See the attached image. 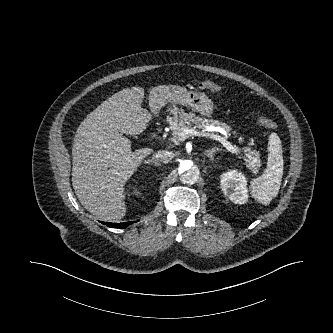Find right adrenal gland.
Wrapping results in <instances>:
<instances>
[{
	"mask_svg": "<svg viewBox=\"0 0 333 333\" xmlns=\"http://www.w3.org/2000/svg\"><path fill=\"white\" fill-rule=\"evenodd\" d=\"M146 163H148V164H154V165H156V166H158L159 165V163H157V162H155V161H152V160H148V161H146Z\"/></svg>",
	"mask_w": 333,
	"mask_h": 333,
	"instance_id": "right-adrenal-gland-1",
	"label": "right adrenal gland"
}]
</instances>
